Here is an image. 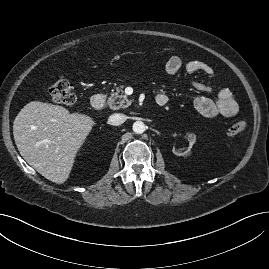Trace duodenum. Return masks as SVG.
<instances>
[{
    "label": "duodenum",
    "instance_id": "duodenum-1",
    "mask_svg": "<svg viewBox=\"0 0 269 269\" xmlns=\"http://www.w3.org/2000/svg\"><path fill=\"white\" fill-rule=\"evenodd\" d=\"M156 103L159 107H163L167 103V97L160 95L156 98ZM106 104V97L103 94L97 93L91 98V106L95 110H102Z\"/></svg>",
    "mask_w": 269,
    "mask_h": 269
}]
</instances>
